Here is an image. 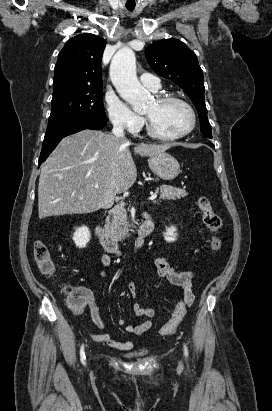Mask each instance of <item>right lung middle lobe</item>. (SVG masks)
<instances>
[{
    "label": "right lung middle lobe",
    "mask_w": 272,
    "mask_h": 411,
    "mask_svg": "<svg viewBox=\"0 0 272 411\" xmlns=\"http://www.w3.org/2000/svg\"><path fill=\"white\" fill-rule=\"evenodd\" d=\"M80 119L108 121L102 86L70 88L54 93L46 132Z\"/></svg>",
    "instance_id": "dd1d6c3e"
}]
</instances>
